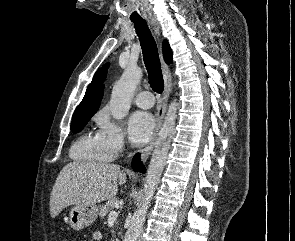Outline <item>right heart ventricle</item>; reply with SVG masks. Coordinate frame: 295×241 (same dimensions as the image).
Returning a JSON list of instances; mask_svg holds the SVG:
<instances>
[{
  "instance_id": "1",
  "label": "right heart ventricle",
  "mask_w": 295,
  "mask_h": 241,
  "mask_svg": "<svg viewBox=\"0 0 295 241\" xmlns=\"http://www.w3.org/2000/svg\"><path fill=\"white\" fill-rule=\"evenodd\" d=\"M70 156L74 160L84 162H106L113 158L112 152L99 132L80 136L71 147Z\"/></svg>"
}]
</instances>
